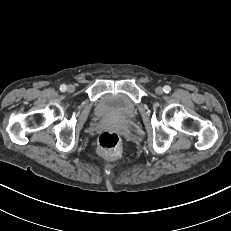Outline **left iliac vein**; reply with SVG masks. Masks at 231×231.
Instances as JSON below:
<instances>
[{
  "label": "left iliac vein",
  "mask_w": 231,
  "mask_h": 231,
  "mask_svg": "<svg viewBox=\"0 0 231 231\" xmlns=\"http://www.w3.org/2000/svg\"><path fill=\"white\" fill-rule=\"evenodd\" d=\"M155 92H156V94H158V95H162L163 94V88L162 87H157L156 89H155Z\"/></svg>",
  "instance_id": "obj_1"
}]
</instances>
